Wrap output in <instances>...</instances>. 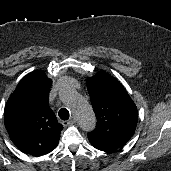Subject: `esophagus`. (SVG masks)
I'll return each mask as SVG.
<instances>
[{"label": "esophagus", "mask_w": 171, "mask_h": 171, "mask_svg": "<svg viewBox=\"0 0 171 171\" xmlns=\"http://www.w3.org/2000/svg\"><path fill=\"white\" fill-rule=\"evenodd\" d=\"M76 122V118L75 117H71L70 120L68 121H63V125L64 126H68V125H72Z\"/></svg>", "instance_id": "1"}]
</instances>
